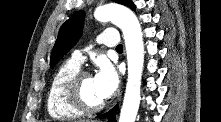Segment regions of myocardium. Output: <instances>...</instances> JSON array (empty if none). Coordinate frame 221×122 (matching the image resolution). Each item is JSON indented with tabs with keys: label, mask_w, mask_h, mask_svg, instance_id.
Here are the masks:
<instances>
[{
	"label": "myocardium",
	"mask_w": 221,
	"mask_h": 122,
	"mask_svg": "<svg viewBox=\"0 0 221 122\" xmlns=\"http://www.w3.org/2000/svg\"><path fill=\"white\" fill-rule=\"evenodd\" d=\"M91 74L84 70H79L74 75H72L66 82L64 87V94L68 103L86 114H93L101 111L106 103L102 102L97 105H92L88 103L82 95V82L85 78L90 77Z\"/></svg>",
	"instance_id": "1"
}]
</instances>
